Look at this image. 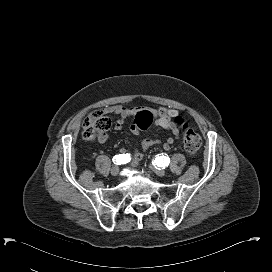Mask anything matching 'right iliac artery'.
Instances as JSON below:
<instances>
[{"label": "right iliac artery", "mask_w": 272, "mask_h": 272, "mask_svg": "<svg viewBox=\"0 0 272 272\" xmlns=\"http://www.w3.org/2000/svg\"><path fill=\"white\" fill-rule=\"evenodd\" d=\"M131 160L130 154H119L113 157V162L116 165L128 163Z\"/></svg>", "instance_id": "obj_1"}]
</instances>
